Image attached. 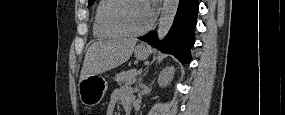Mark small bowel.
Here are the masks:
<instances>
[{
	"label": "small bowel",
	"mask_w": 285,
	"mask_h": 115,
	"mask_svg": "<svg viewBox=\"0 0 285 115\" xmlns=\"http://www.w3.org/2000/svg\"><path fill=\"white\" fill-rule=\"evenodd\" d=\"M118 102H121L123 107L126 110H129L131 108V96H130V94L125 90H121V89L115 90L112 93L111 98H110L109 103H108V106H107V115H113L114 114V110H115V107H116Z\"/></svg>",
	"instance_id": "1"
}]
</instances>
